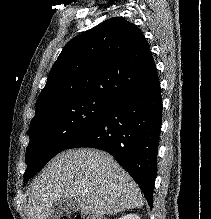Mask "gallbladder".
<instances>
[{
	"instance_id": "gallbladder-1",
	"label": "gallbladder",
	"mask_w": 211,
	"mask_h": 219,
	"mask_svg": "<svg viewBox=\"0 0 211 219\" xmlns=\"http://www.w3.org/2000/svg\"><path fill=\"white\" fill-rule=\"evenodd\" d=\"M77 211V204L72 198H64L54 204L50 219H60L65 213L70 214Z\"/></svg>"
}]
</instances>
